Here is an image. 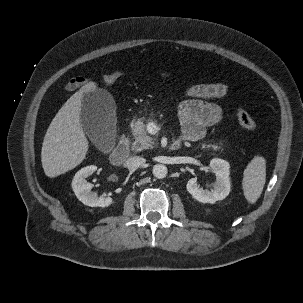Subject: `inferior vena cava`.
I'll return each mask as SVG.
<instances>
[{"label":"inferior vena cava","instance_id":"inferior-vena-cava-1","mask_svg":"<svg viewBox=\"0 0 303 303\" xmlns=\"http://www.w3.org/2000/svg\"><path fill=\"white\" fill-rule=\"evenodd\" d=\"M145 163V159L143 157H139V156H133L130 157L127 162H126V167L129 170L135 171L137 170L139 167L143 166Z\"/></svg>","mask_w":303,"mask_h":303}]
</instances>
